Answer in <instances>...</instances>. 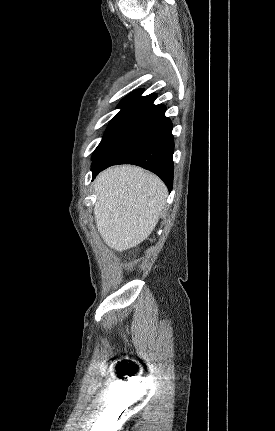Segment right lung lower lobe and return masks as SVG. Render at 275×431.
Returning a JSON list of instances; mask_svg holds the SVG:
<instances>
[{
	"label": "right lung lower lobe",
	"mask_w": 275,
	"mask_h": 431,
	"mask_svg": "<svg viewBox=\"0 0 275 431\" xmlns=\"http://www.w3.org/2000/svg\"><path fill=\"white\" fill-rule=\"evenodd\" d=\"M165 111L152 103L134 114L93 160L92 180L109 166L134 164L158 175L171 191L174 141Z\"/></svg>",
	"instance_id": "right-lung-lower-lobe-1"
}]
</instances>
